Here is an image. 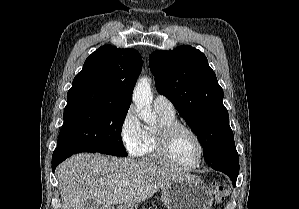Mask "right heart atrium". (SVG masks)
<instances>
[{
  "instance_id": "d8ad5b80",
  "label": "right heart atrium",
  "mask_w": 299,
  "mask_h": 209,
  "mask_svg": "<svg viewBox=\"0 0 299 209\" xmlns=\"http://www.w3.org/2000/svg\"><path fill=\"white\" fill-rule=\"evenodd\" d=\"M119 133L126 151L132 156H139L144 142V127L133 107L125 112Z\"/></svg>"
}]
</instances>
